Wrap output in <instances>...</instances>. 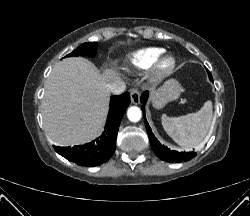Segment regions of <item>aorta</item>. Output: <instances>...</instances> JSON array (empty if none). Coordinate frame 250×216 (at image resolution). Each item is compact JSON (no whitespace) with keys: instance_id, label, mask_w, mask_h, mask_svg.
Segmentation results:
<instances>
[{"instance_id":"762f6f07","label":"aorta","mask_w":250,"mask_h":216,"mask_svg":"<svg viewBox=\"0 0 250 216\" xmlns=\"http://www.w3.org/2000/svg\"><path fill=\"white\" fill-rule=\"evenodd\" d=\"M128 119L132 122H138L141 119L142 113L140 108L132 106L127 112Z\"/></svg>"}]
</instances>
